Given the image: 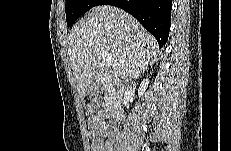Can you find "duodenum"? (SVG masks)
Segmentation results:
<instances>
[{"mask_svg": "<svg viewBox=\"0 0 231 151\" xmlns=\"http://www.w3.org/2000/svg\"><path fill=\"white\" fill-rule=\"evenodd\" d=\"M107 118L114 121H120L122 118V111L120 109H111Z\"/></svg>", "mask_w": 231, "mask_h": 151, "instance_id": "obj_1", "label": "duodenum"}]
</instances>
